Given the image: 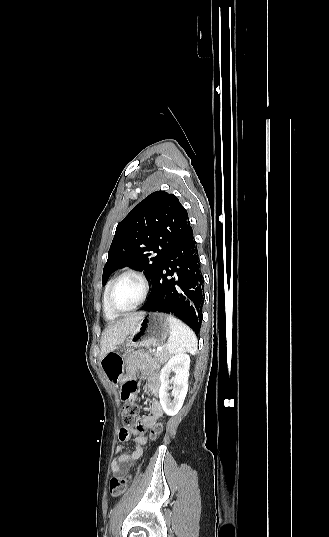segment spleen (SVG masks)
I'll list each match as a JSON object with an SVG mask.
<instances>
[{
  "instance_id": "obj_1",
  "label": "spleen",
  "mask_w": 329,
  "mask_h": 537,
  "mask_svg": "<svg viewBox=\"0 0 329 537\" xmlns=\"http://www.w3.org/2000/svg\"><path fill=\"white\" fill-rule=\"evenodd\" d=\"M171 333L166 345L170 354L197 351V338L194 332L176 317L170 316Z\"/></svg>"
}]
</instances>
